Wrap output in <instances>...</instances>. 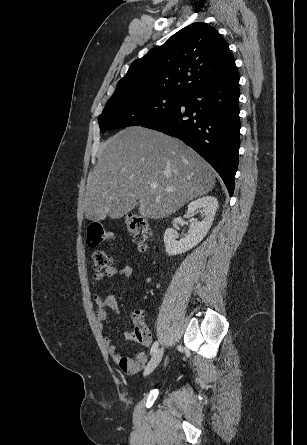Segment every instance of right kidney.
Listing matches in <instances>:
<instances>
[{
    "mask_svg": "<svg viewBox=\"0 0 307 445\" xmlns=\"http://www.w3.org/2000/svg\"><path fill=\"white\" fill-rule=\"evenodd\" d=\"M217 206L218 200L215 196H202V198L192 200V202L188 204V210L185 216H192L191 212H194L197 208H202V210H204V218L201 220V223L194 218L193 223L190 225L188 235H186L185 239H180V241H176L178 235L174 229H166L164 233V245L167 255H181V253H186V251H190V249L196 247V245L206 237L213 223Z\"/></svg>",
    "mask_w": 307,
    "mask_h": 445,
    "instance_id": "ca27d5eb",
    "label": "right kidney"
}]
</instances>
